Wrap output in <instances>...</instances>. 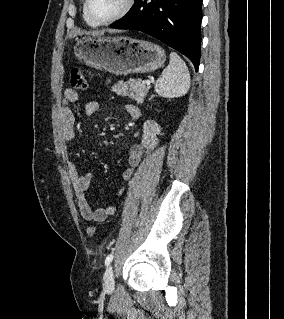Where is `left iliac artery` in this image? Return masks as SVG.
I'll return each mask as SVG.
<instances>
[{"mask_svg": "<svg viewBox=\"0 0 284 319\" xmlns=\"http://www.w3.org/2000/svg\"><path fill=\"white\" fill-rule=\"evenodd\" d=\"M113 260V253L109 254L105 259V265L108 266L110 262Z\"/></svg>", "mask_w": 284, "mask_h": 319, "instance_id": "1", "label": "left iliac artery"}]
</instances>
